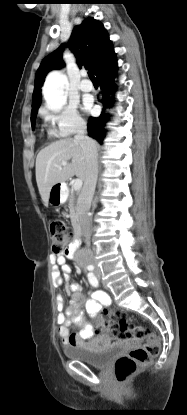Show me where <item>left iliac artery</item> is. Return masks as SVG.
<instances>
[{"label":"left iliac artery","mask_w":187,"mask_h":415,"mask_svg":"<svg viewBox=\"0 0 187 415\" xmlns=\"http://www.w3.org/2000/svg\"><path fill=\"white\" fill-rule=\"evenodd\" d=\"M88 279H89V282L92 286L96 287L98 285V281H97V279H96V277L94 276L93 273L88 274Z\"/></svg>","instance_id":"44dca946"}]
</instances>
